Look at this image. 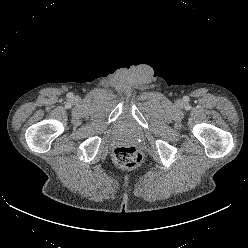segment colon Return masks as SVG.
<instances>
[{
    "label": "colon",
    "instance_id": "5ec220e1",
    "mask_svg": "<svg viewBox=\"0 0 248 248\" xmlns=\"http://www.w3.org/2000/svg\"><path fill=\"white\" fill-rule=\"evenodd\" d=\"M115 165L122 169H133L142 162V155L132 146H120L113 151Z\"/></svg>",
    "mask_w": 248,
    "mask_h": 248
}]
</instances>
